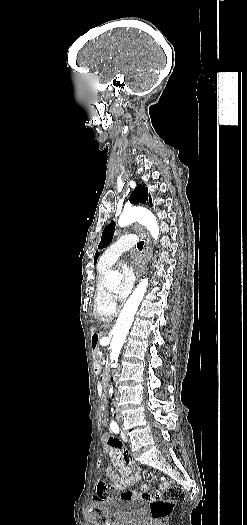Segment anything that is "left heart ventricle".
<instances>
[{
	"label": "left heart ventricle",
	"instance_id": "b2bd125f",
	"mask_svg": "<svg viewBox=\"0 0 247 525\" xmlns=\"http://www.w3.org/2000/svg\"><path fill=\"white\" fill-rule=\"evenodd\" d=\"M130 253H125L123 256L120 257V259L116 262L115 268L119 270L121 273L124 270H131L133 268L132 262L130 261ZM108 288L115 292L118 290V283H114L108 286Z\"/></svg>",
	"mask_w": 247,
	"mask_h": 525
}]
</instances>
